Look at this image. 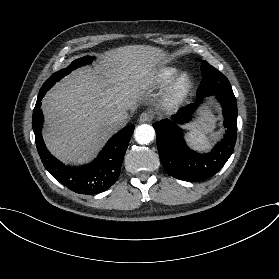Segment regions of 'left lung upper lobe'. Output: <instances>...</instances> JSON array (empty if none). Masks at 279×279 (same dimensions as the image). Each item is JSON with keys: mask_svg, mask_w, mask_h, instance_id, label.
Wrapping results in <instances>:
<instances>
[{"mask_svg": "<svg viewBox=\"0 0 279 279\" xmlns=\"http://www.w3.org/2000/svg\"><path fill=\"white\" fill-rule=\"evenodd\" d=\"M201 73L203 78L197 91L198 100L212 95L235 99L228 79L216 68L202 61Z\"/></svg>", "mask_w": 279, "mask_h": 279, "instance_id": "left-lung-upper-lobe-1", "label": "left lung upper lobe"}]
</instances>
